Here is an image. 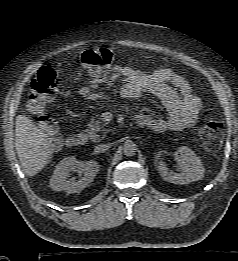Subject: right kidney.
I'll return each instance as SVG.
<instances>
[{
    "instance_id": "right-kidney-1",
    "label": "right kidney",
    "mask_w": 238,
    "mask_h": 261,
    "mask_svg": "<svg viewBox=\"0 0 238 261\" xmlns=\"http://www.w3.org/2000/svg\"><path fill=\"white\" fill-rule=\"evenodd\" d=\"M99 165L96 161H78L75 157H65L56 166L50 179V187L55 191H66L67 193L80 192L91 183L97 172ZM71 171H77L83 176L78 180H67Z\"/></svg>"
}]
</instances>
